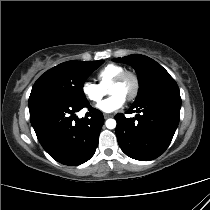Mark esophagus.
<instances>
[{"mask_svg": "<svg viewBox=\"0 0 210 210\" xmlns=\"http://www.w3.org/2000/svg\"><path fill=\"white\" fill-rule=\"evenodd\" d=\"M110 117H112L111 114H104V118H105V119H108V118H110Z\"/></svg>", "mask_w": 210, "mask_h": 210, "instance_id": "esophagus-1", "label": "esophagus"}]
</instances>
